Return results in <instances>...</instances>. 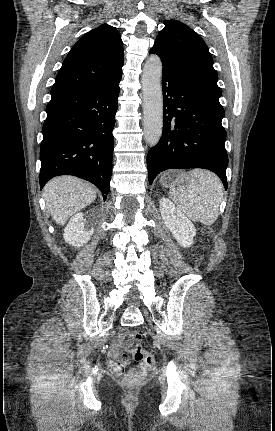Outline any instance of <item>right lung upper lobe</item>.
<instances>
[{
	"label": "right lung upper lobe",
	"mask_w": 275,
	"mask_h": 431,
	"mask_svg": "<svg viewBox=\"0 0 275 431\" xmlns=\"http://www.w3.org/2000/svg\"><path fill=\"white\" fill-rule=\"evenodd\" d=\"M123 44L117 29L104 24L86 33L63 61L52 97L106 86L122 76Z\"/></svg>",
	"instance_id": "obj_1"
}]
</instances>
